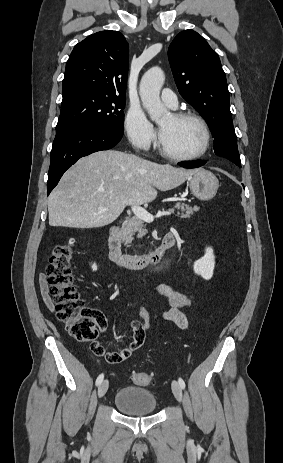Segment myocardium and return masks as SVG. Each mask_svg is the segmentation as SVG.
I'll list each match as a JSON object with an SVG mask.
<instances>
[{
	"mask_svg": "<svg viewBox=\"0 0 283 463\" xmlns=\"http://www.w3.org/2000/svg\"><path fill=\"white\" fill-rule=\"evenodd\" d=\"M171 116L173 119L178 120V121L185 120V119H192L196 121L203 130V134H204L203 145L197 153L192 154V155L182 156V155H176V154L170 153L159 142L158 144L159 153L163 157L169 160H172V161H177V162H189V161H194V160H197L203 157L207 153L210 147V143H211V131H210L207 121L200 114L193 112V111L174 112L171 114Z\"/></svg>",
	"mask_w": 283,
	"mask_h": 463,
	"instance_id": "obj_1",
	"label": "myocardium"
}]
</instances>
